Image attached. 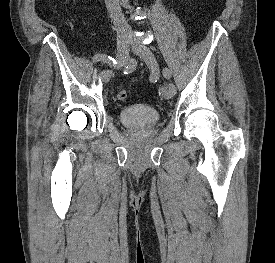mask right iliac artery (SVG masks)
<instances>
[{"mask_svg": "<svg viewBox=\"0 0 275 263\" xmlns=\"http://www.w3.org/2000/svg\"><path fill=\"white\" fill-rule=\"evenodd\" d=\"M98 61H103L109 65H116L117 62L114 60V58L110 55H107V54H96L94 57H93V62H98Z\"/></svg>", "mask_w": 275, "mask_h": 263, "instance_id": "82829eb1", "label": "right iliac artery"}]
</instances>
